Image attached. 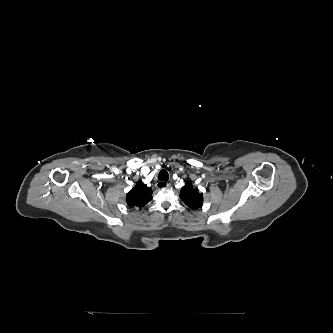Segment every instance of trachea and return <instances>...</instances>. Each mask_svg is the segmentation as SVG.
I'll use <instances>...</instances> for the list:
<instances>
[{"label":"trachea","instance_id":"obj_1","mask_svg":"<svg viewBox=\"0 0 333 333\" xmlns=\"http://www.w3.org/2000/svg\"><path fill=\"white\" fill-rule=\"evenodd\" d=\"M158 179L161 181H168L169 179V174L166 170H161L158 175Z\"/></svg>","mask_w":333,"mask_h":333}]
</instances>
